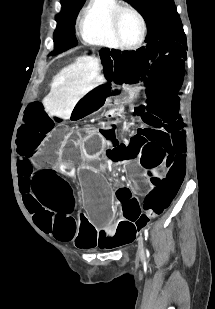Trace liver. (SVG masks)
<instances>
[{
	"mask_svg": "<svg viewBox=\"0 0 215 309\" xmlns=\"http://www.w3.org/2000/svg\"><path fill=\"white\" fill-rule=\"evenodd\" d=\"M102 82L105 78L101 74L100 58L94 54L78 56L54 76L51 90L42 100L45 110L60 118H69L78 100Z\"/></svg>",
	"mask_w": 215,
	"mask_h": 309,
	"instance_id": "1",
	"label": "liver"
}]
</instances>
